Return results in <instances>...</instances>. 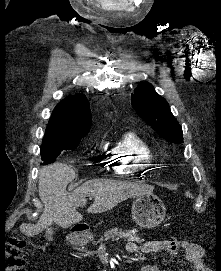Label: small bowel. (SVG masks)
Instances as JSON below:
<instances>
[{
    "mask_svg": "<svg viewBox=\"0 0 221 271\" xmlns=\"http://www.w3.org/2000/svg\"><path fill=\"white\" fill-rule=\"evenodd\" d=\"M126 250L136 255L165 252L167 258L164 265L167 271H183L184 265H190L192 271H210L203 260V248L186 240L159 239L142 244L130 240L126 244ZM141 271H160V268L156 265H145Z\"/></svg>",
    "mask_w": 221,
    "mask_h": 271,
    "instance_id": "c3829d8e",
    "label": "small bowel"
}]
</instances>
